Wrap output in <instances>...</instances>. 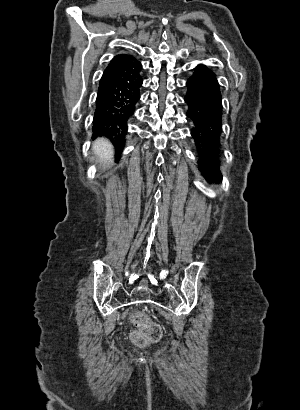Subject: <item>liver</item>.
<instances>
[{
    "label": "liver",
    "instance_id": "1",
    "mask_svg": "<svg viewBox=\"0 0 300 410\" xmlns=\"http://www.w3.org/2000/svg\"><path fill=\"white\" fill-rule=\"evenodd\" d=\"M93 152L98 156L99 162L106 166L113 159V147L111 143L104 138L97 139L93 144Z\"/></svg>",
    "mask_w": 300,
    "mask_h": 410
}]
</instances>
